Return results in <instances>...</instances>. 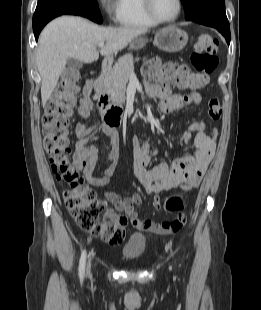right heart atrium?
<instances>
[{
  "instance_id": "right-heart-atrium-1",
  "label": "right heart atrium",
  "mask_w": 261,
  "mask_h": 310,
  "mask_svg": "<svg viewBox=\"0 0 261 310\" xmlns=\"http://www.w3.org/2000/svg\"><path fill=\"white\" fill-rule=\"evenodd\" d=\"M113 0H98L101 8L105 11V13L109 16L113 14V6H112Z\"/></svg>"
}]
</instances>
